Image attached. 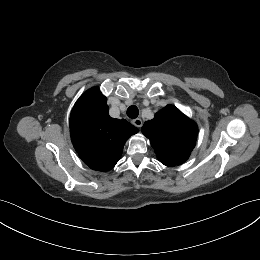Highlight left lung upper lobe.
Here are the masks:
<instances>
[{"label": "left lung upper lobe", "mask_w": 260, "mask_h": 260, "mask_svg": "<svg viewBox=\"0 0 260 260\" xmlns=\"http://www.w3.org/2000/svg\"><path fill=\"white\" fill-rule=\"evenodd\" d=\"M149 138L158 160L169 167L181 165L196 144L197 124L173 105H167L141 129Z\"/></svg>", "instance_id": "5c2ea615"}]
</instances>
